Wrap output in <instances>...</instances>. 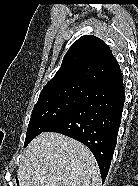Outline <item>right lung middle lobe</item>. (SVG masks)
<instances>
[{"label":"right lung middle lobe","instance_id":"dd1d6c3e","mask_svg":"<svg viewBox=\"0 0 138 186\" xmlns=\"http://www.w3.org/2000/svg\"><path fill=\"white\" fill-rule=\"evenodd\" d=\"M91 91L92 89L85 86L73 85L41 92L31 114L24 147L85 102Z\"/></svg>","mask_w":138,"mask_h":186}]
</instances>
